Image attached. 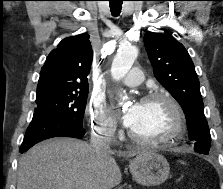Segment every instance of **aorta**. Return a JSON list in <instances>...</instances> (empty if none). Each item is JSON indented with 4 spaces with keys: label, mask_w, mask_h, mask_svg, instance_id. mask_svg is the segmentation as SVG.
<instances>
[{
    "label": "aorta",
    "mask_w": 223,
    "mask_h": 189,
    "mask_svg": "<svg viewBox=\"0 0 223 189\" xmlns=\"http://www.w3.org/2000/svg\"><path fill=\"white\" fill-rule=\"evenodd\" d=\"M138 50L134 46L121 47L113 59L111 66L112 78L116 81L121 80L131 69L135 59L137 58Z\"/></svg>",
    "instance_id": "1"
}]
</instances>
